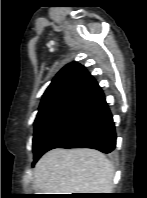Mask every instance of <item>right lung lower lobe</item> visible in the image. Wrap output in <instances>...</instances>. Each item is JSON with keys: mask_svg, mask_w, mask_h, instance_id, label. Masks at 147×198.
<instances>
[{"mask_svg": "<svg viewBox=\"0 0 147 198\" xmlns=\"http://www.w3.org/2000/svg\"><path fill=\"white\" fill-rule=\"evenodd\" d=\"M116 147L112 115L100 87L72 107L60 124L44 140L37 160L54 148H93L111 153Z\"/></svg>", "mask_w": 147, "mask_h": 198, "instance_id": "obj_1", "label": "right lung lower lobe"}]
</instances>
